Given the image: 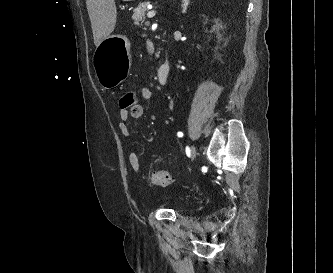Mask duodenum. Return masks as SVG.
<instances>
[{
  "label": "duodenum",
  "mask_w": 333,
  "mask_h": 273,
  "mask_svg": "<svg viewBox=\"0 0 333 273\" xmlns=\"http://www.w3.org/2000/svg\"><path fill=\"white\" fill-rule=\"evenodd\" d=\"M170 73L171 65L166 61L157 70V79L160 85H166L168 83Z\"/></svg>",
  "instance_id": "duodenum-1"
}]
</instances>
